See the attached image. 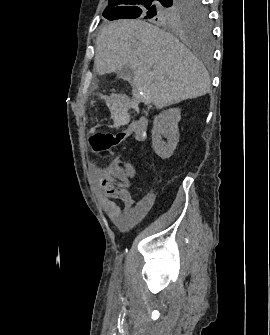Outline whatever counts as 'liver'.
<instances>
[{"instance_id": "liver-1", "label": "liver", "mask_w": 270, "mask_h": 335, "mask_svg": "<svg viewBox=\"0 0 270 335\" xmlns=\"http://www.w3.org/2000/svg\"><path fill=\"white\" fill-rule=\"evenodd\" d=\"M130 66L133 88L144 102L165 108L209 90V74L194 54L172 34L144 20H116L102 28L95 50V68L111 74Z\"/></svg>"}]
</instances>
